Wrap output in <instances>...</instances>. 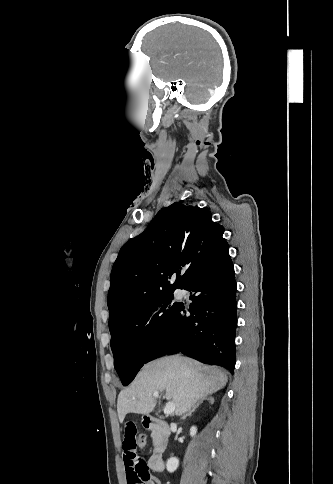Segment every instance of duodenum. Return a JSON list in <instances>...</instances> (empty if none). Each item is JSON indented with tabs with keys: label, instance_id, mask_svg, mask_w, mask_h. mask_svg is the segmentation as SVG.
I'll return each instance as SVG.
<instances>
[{
	"label": "duodenum",
	"instance_id": "1",
	"mask_svg": "<svg viewBox=\"0 0 333 484\" xmlns=\"http://www.w3.org/2000/svg\"><path fill=\"white\" fill-rule=\"evenodd\" d=\"M143 425L146 429L154 430L160 435L155 452L150 458V467L155 472H162L164 470L162 452L167 447L166 438L170 433V427L167 422L154 417H145Z\"/></svg>",
	"mask_w": 333,
	"mask_h": 484
}]
</instances>
